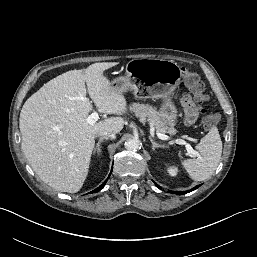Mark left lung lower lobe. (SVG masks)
Here are the masks:
<instances>
[{"mask_svg": "<svg viewBox=\"0 0 257 257\" xmlns=\"http://www.w3.org/2000/svg\"><path fill=\"white\" fill-rule=\"evenodd\" d=\"M154 184L159 188V189H161V187L158 185V184H156L155 182H154ZM199 187V185L198 186H195L192 190H190V191H193V190H195V189H197ZM190 191H187V192H190ZM172 193H176V192H172ZM177 194H180V192H177Z\"/></svg>", "mask_w": 257, "mask_h": 257, "instance_id": "1", "label": "left lung lower lobe"}]
</instances>
